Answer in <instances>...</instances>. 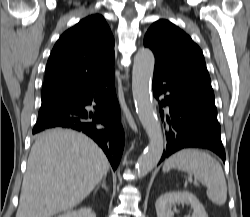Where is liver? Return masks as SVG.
Here are the masks:
<instances>
[{"instance_id": "liver-1", "label": "liver", "mask_w": 250, "mask_h": 217, "mask_svg": "<svg viewBox=\"0 0 250 217\" xmlns=\"http://www.w3.org/2000/svg\"><path fill=\"white\" fill-rule=\"evenodd\" d=\"M109 162L90 138L68 129L37 136L16 217H52L80 204L107 175Z\"/></svg>"}]
</instances>
